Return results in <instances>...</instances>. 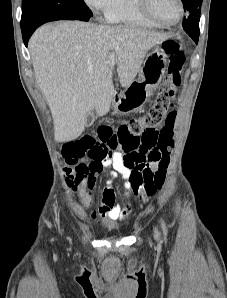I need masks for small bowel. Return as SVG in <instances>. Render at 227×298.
I'll use <instances>...</instances> for the list:
<instances>
[{
    "mask_svg": "<svg viewBox=\"0 0 227 298\" xmlns=\"http://www.w3.org/2000/svg\"><path fill=\"white\" fill-rule=\"evenodd\" d=\"M61 153L68 165L75 167L76 174L67 178L70 186L83 184L87 189H92L98 175L106 169V186L102 191L100 206L91 212L92 219H127L133 209L131 195L146 199L154 194L150 173H157L160 169L156 160H151L140 151L110 150L107 142H97L96 134H82V139H73V142H61ZM83 158L89 163L80 162ZM120 177L126 190L124 197L125 206L121 208L116 204V194L113 183Z\"/></svg>",
    "mask_w": 227,
    "mask_h": 298,
    "instance_id": "obj_1",
    "label": "small bowel"
}]
</instances>
